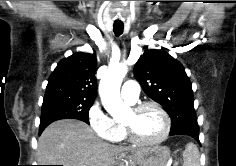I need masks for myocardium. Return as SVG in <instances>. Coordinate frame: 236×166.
I'll return each instance as SVG.
<instances>
[{
  "label": "myocardium",
  "mask_w": 236,
  "mask_h": 166,
  "mask_svg": "<svg viewBox=\"0 0 236 166\" xmlns=\"http://www.w3.org/2000/svg\"><path fill=\"white\" fill-rule=\"evenodd\" d=\"M147 107H153L155 109L158 110V112L161 114V116L163 117L164 120V129L162 134L154 139V140H150V141H144L139 139L134 130L132 129V127L126 123H123L122 126L126 132V135L128 136L129 140L138 146H155L158 145L160 143H162L167 136L169 135L170 132V128H171V120L170 117L168 115V113L166 112V110L156 101H143L140 102L136 105H134L131 109L132 113L134 114H138L139 112H141L143 109L147 108Z\"/></svg>",
  "instance_id": "myocardium-1"
}]
</instances>
